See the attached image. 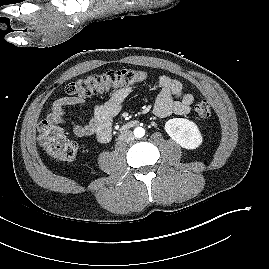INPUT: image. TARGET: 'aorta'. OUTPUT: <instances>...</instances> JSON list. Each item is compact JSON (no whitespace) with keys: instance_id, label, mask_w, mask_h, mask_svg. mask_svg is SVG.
<instances>
[{"instance_id":"762f6f07","label":"aorta","mask_w":269,"mask_h":269,"mask_svg":"<svg viewBox=\"0 0 269 269\" xmlns=\"http://www.w3.org/2000/svg\"><path fill=\"white\" fill-rule=\"evenodd\" d=\"M145 135V129L142 127H136L134 129V136L137 138H141Z\"/></svg>"}]
</instances>
